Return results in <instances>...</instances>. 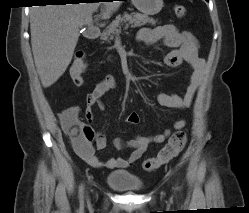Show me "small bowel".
Segmentation results:
<instances>
[{
    "label": "small bowel",
    "mask_w": 249,
    "mask_h": 213,
    "mask_svg": "<svg viewBox=\"0 0 249 213\" xmlns=\"http://www.w3.org/2000/svg\"><path fill=\"white\" fill-rule=\"evenodd\" d=\"M160 40L166 46L172 48L165 58V63L170 67H176L185 62L191 69V76L183 95L159 93L156 95V100L163 107L173 109L188 108L192 104L204 70V60L198 54V41L192 33L180 31L173 24H166L156 28H142L138 33V41L145 46L154 45ZM115 85V77L108 75L86 96L85 112L88 122H84L79 118L80 109L78 107L67 108L59 114L62 129L71 136L74 150L87 164L95 168H126L140 159L152 143H162L170 136L173 130H181L186 126V120L179 119L174 122L172 127L166 128L155 136H135L128 141L116 138L113 142L115 148H131L129 156L125 158L112 157L106 160L100 159L95 154V151L106 148L107 138L103 130L94 132L90 126L89 123L93 119L92 108L97 105L101 110H104L101 99ZM139 120V115L135 112L130 113L125 119L130 124H137ZM77 141H80L81 145L78 146Z\"/></svg>",
    "instance_id": "c3829d8e"
}]
</instances>
